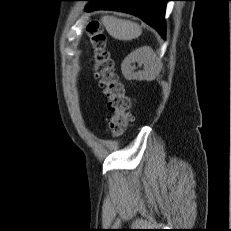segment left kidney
Wrapping results in <instances>:
<instances>
[{"mask_svg": "<svg viewBox=\"0 0 231 231\" xmlns=\"http://www.w3.org/2000/svg\"><path fill=\"white\" fill-rule=\"evenodd\" d=\"M135 62L140 65H144L143 70L138 72L134 71ZM122 74L127 80H152L155 78L160 71V66L156 55L151 47L143 46L132 51L122 62L121 65Z\"/></svg>", "mask_w": 231, "mask_h": 231, "instance_id": "1", "label": "left kidney"}]
</instances>
